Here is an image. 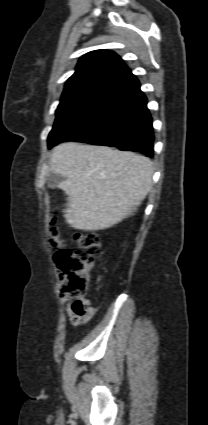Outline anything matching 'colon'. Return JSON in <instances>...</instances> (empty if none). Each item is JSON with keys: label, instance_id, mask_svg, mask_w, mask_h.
I'll use <instances>...</instances> for the list:
<instances>
[{"label": "colon", "instance_id": "5ec220e1", "mask_svg": "<svg viewBox=\"0 0 208 425\" xmlns=\"http://www.w3.org/2000/svg\"><path fill=\"white\" fill-rule=\"evenodd\" d=\"M48 244L54 252L62 296L75 300L78 309L86 307L89 275L101 252L100 237L94 232H80L76 235L77 249L68 250L64 248L60 228L52 220Z\"/></svg>", "mask_w": 208, "mask_h": 425}]
</instances>
